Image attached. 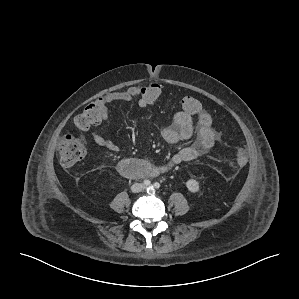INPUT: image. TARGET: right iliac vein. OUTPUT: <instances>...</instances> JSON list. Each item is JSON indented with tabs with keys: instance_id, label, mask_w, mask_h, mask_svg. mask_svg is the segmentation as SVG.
<instances>
[{
	"instance_id": "63e3f726",
	"label": "right iliac vein",
	"mask_w": 299,
	"mask_h": 299,
	"mask_svg": "<svg viewBox=\"0 0 299 299\" xmlns=\"http://www.w3.org/2000/svg\"><path fill=\"white\" fill-rule=\"evenodd\" d=\"M143 189V186L141 184H136L134 187H133V190L134 191H141Z\"/></svg>"
}]
</instances>
